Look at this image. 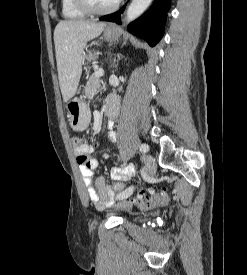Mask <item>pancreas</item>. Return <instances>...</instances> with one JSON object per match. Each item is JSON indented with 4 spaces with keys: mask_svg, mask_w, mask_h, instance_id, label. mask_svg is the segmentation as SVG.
Wrapping results in <instances>:
<instances>
[{
    "mask_svg": "<svg viewBox=\"0 0 247 275\" xmlns=\"http://www.w3.org/2000/svg\"><path fill=\"white\" fill-rule=\"evenodd\" d=\"M101 80L99 76H96L95 74L91 75L87 85L85 87V95L91 99L96 94L97 90L100 88Z\"/></svg>",
    "mask_w": 247,
    "mask_h": 275,
    "instance_id": "1",
    "label": "pancreas"
}]
</instances>
